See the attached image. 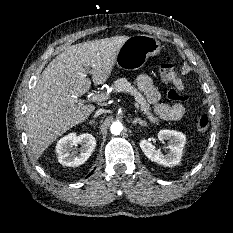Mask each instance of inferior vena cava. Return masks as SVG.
Masks as SVG:
<instances>
[{
    "mask_svg": "<svg viewBox=\"0 0 233 233\" xmlns=\"http://www.w3.org/2000/svg\"><path fill=\"white\" fill-rule=\"evenodd\" d=\"M105 112H106V110H104V109H99V110L96 111L95 116H98V115L103 114V113H105Z\"/></svg>",
    "mask_w": 233,
    "mask_h": 233,
    "instance_id": "inferior-vena-cava-1",
    "label": "inferior vena cava"
}]
</instances>
